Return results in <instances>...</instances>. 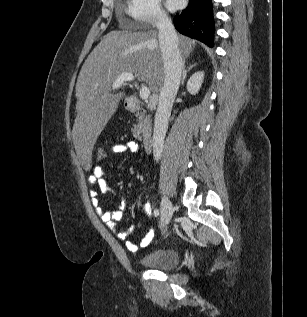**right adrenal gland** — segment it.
<instances>
[{
  "label": "right adrenal gland",
  "mask_w": 307,
  "mask_h": 317,
  "mask_svg": "<svg viewBox=\"0 0 307 317\" xmlns=\"http://www.w3.org/2000/svg\"><path fill=\"white\" fill-rule=\"evenodd\" d=\"M194 66H196V63L193 65H190V67H188V69H186L185 67V59L183 60L182 63V79H181V83L184 84L187 72L190 71Z\"/></svg>",
  "instance_id": "right-adrenal-gland-1"
}]
</instances>
